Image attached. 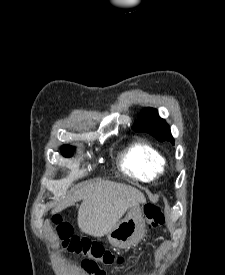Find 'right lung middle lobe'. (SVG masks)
Returning a JSON list of instances; mask_svg holds the SVG:
<instances>
[{"label":"right lung middle lobe","mask_w":225,"mask_h":275,"mask_svg":"<svg viewBox=\"0 0 225 275\" xmlns=\"http://www.w3.org/2000/svg\"><path fill=\"white\" fill-rule=\"evenodd\" d=\"M74 150L75 148L70 145H64L61 148V152L65 157H71L73 155Z\"/></svg>","instance_id":"dd1d6c3e"}]
</instances>
